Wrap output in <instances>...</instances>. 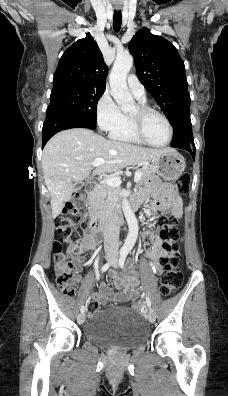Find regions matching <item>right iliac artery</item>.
Instances as JSON below:
<instances>
[{"mask_svg": "<svg viewBox=\"0 0 228 396\" xmlns=\"http://www.w3.org/2000/svg\"><path fill=\"white\" fill-rule=\"evenodd\" d=\"M110 266H111V262L106 263V264L103 265V267L101 268V271H102V272H106V271L109 269ZM80 311H81V313H84V312H85V306H82L81 309H80Z\"/></svg>", "mask_w": 228, "mask_h": 396, "instance_id": "obj_1", "label": "right iliac artery"}]
</instances>
